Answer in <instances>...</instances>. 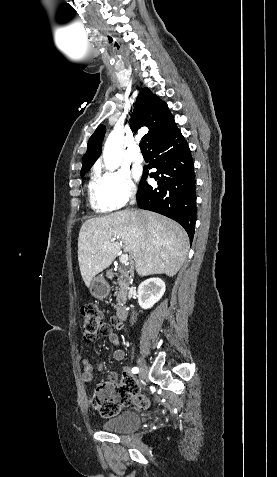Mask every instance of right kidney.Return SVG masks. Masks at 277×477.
Listing matches in <instances>:
<instances>
[{"instance_id": "obj_1", "label": "right kidney", "mask_w": 277, "mask_h": 477, "mask_svg": "<svg viewBox=\"0 0 277 477\" xmlns=\"http://www.w3.org/2000/svg\"><path fill=\"white\" fill-rule=\"evenodd\" d=\"M165 283L160 278H149L138 287V302L143 309L153 307L165 292Z\"/></svg>"}]
</instances>
